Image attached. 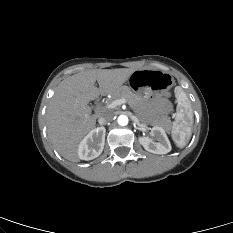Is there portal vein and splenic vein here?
Wrapping results in <instances>:
<instances>
[{
  "label": "portal vein and splenic vein",
  "instance_id": "obj_1",
  "mask_svg": "<svg viewBox=\"0 0 233 233\" xmlns=\"http://www.w3.org/2000/svg\"><path fill=\"white\" fill-rule=\"evenodd\" d=\"M125 102H126L125 99H117V100H114L111 103H109L107 105V108L112 109V108H115L118 105L124 104Z\"/></svg>",
  "mask_w": 233,
  "mask_h": 233
}]
</instances>
